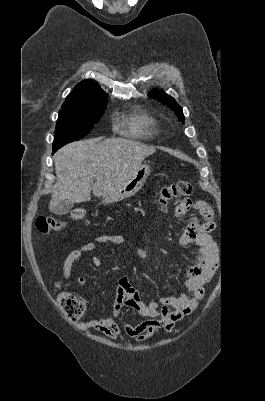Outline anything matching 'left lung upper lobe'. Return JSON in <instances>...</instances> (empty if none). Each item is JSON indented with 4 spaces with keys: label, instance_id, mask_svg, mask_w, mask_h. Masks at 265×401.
I'll return each mask as SVG.
<instances>
[{
    "label": "left lung upper lobe",
    "instance_id": "obj_1",
    "mask_svg": "<svg viewBox=\"0 0 265 401\" xmlns=\"http://www.w3.org/2000/svg\"><path fill=\"white\" fill-rule=\"evenodd\" d=\"M149 96L160 101L162 104H165L168 107H170L175 112V114L178 116L179 120L184 121V115L182 113V108L176 103V101L172 97H170L167 94H165L164 92L158 91V90H154V91L150 92Z\"/></svg>",
    "mask_w": 265,
    "mask_h": 401
}]
</instances>
